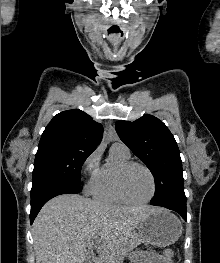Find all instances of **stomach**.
<instances>
[{
  "label": "stomach",
  "instance_id": "stomach-1",
  "mask_svg": "<svg viewBox=\"0 0 220 263\" xmlns=\"http://www.w3.org/2000/svg\"><path fill=\"white\" fill-rule=\"evenodd\" d=\"M180 220L170 211L158 208L140 222L139 235L146 246L166 247L182 234Z\"/></svg>",
  "mask_w": 220,
  "mask_h": 263
}]
</instances>
